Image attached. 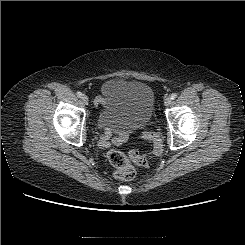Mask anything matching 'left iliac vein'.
Instances as JSON below:
<instances>
[{
	"label": "left iliac vein",
	"instance_id": "obj_1",
	"mask_svg": "<svg viewBox=\"0 0 245 245\" xmlns=\"http://www.w3.org/2000/svg\"><path fill=\"white\" fill-rule=\"evenodd\" d=\"M164 104H165V106H169L171 104V97L167 96L164 99Z\"/></svg>",
	"mask_w": 245,
	"mask_h": 245
}]
</instances>
